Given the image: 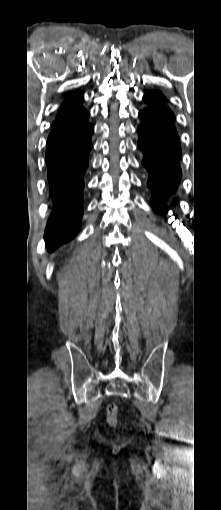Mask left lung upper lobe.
<instances>
[{"label":"left lung upper lobe","instance_id":"1","mask_svg":"<svg viewBox=\"0 0 221 510\" xmlns=\"http://www.w3.org/2000/svg\"><path fill=\"white\" fill-rule=\"evenodd\" d=\"M148 106L143 110L162 127L176 132L175 116L165 104V97L159 91H152L143 97Z\"/></svg>","mask_w":221,"mask_h":510}]
</instances>
